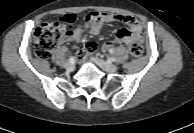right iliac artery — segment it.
<instances>
[{
    "label": "right iliac artery",
    "mask_w": 194,
    "mask_h": 133,
    "mask_svg": "<svg viewBox=\"0 0 194 133\" xmlns=\"http://www.w3.org/2000/svg\"><path fill=\"white\" fill-rule=\"evenodd\" d=\"M69 61L73 63L74 62V58L73 57H70L69 58Z\"/></svg>",
    "instance_id": "82829eb1"
}]
</instances>
